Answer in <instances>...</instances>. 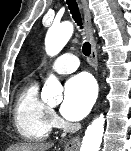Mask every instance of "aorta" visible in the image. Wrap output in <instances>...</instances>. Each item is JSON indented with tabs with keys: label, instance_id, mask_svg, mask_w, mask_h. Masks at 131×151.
Listing matches in <instances>:
<instances>
[{
	"label": "aorta",
	"instance_id": "1",
	"mask_svg": "<svg viewBox=\"0 0 131 151\" xmlns=\"http://www.w3.org/2000/svg\"><path fill=\"white\" fill-rule=\"evenodd\" d=\"M73 31V24L68 21L50 27L46 36L47 54L50 56L57 55L71 38ZM43 92L48 98H52L60 94V83L55 76H50L47 79ZM104 124V115L100 114V116L96 117L91 124L88 125L87 129L85 130L80 151L100 150L104 133Z\"/></svg>",
	"mask_w": 131,
	"mask_h": 151
}]
</instances>
